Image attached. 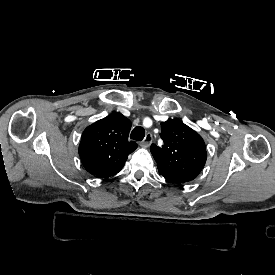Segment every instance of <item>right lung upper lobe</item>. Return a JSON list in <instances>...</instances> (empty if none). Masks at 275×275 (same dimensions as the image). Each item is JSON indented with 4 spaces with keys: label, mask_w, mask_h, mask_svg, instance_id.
I'll use <instances>...</instances> for the list:
<instances>
[{
    "label": "right lung upper lobe",
    "mask_w": 275,
    "mask_h": 275,
    "mask_svg": "<svg viewBox=\"0 0 275 275\" xmlns=\"http://www.w3.org/2000/svg\"><path fill=\"white\" fill-rule=\"evenodd\" d=\"M131 122L119 112L88 126L81 137L79 155L85 169L100 179L117 174L137 148L128 135Z\"/></svg>",
    "instance_id": "right-lung-upper-lobe-1"
}]
</instances>
